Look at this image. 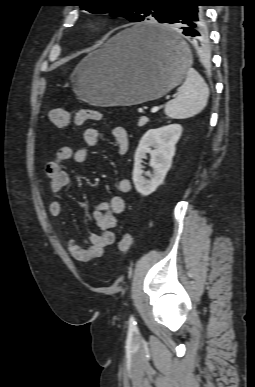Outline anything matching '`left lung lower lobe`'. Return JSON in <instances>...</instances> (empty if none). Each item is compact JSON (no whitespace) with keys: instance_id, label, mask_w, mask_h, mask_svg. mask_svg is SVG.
I'll list each match as a JSON object with an SVG mask.
<instances>
[{"instance_id":"left-lung-lower-lobe-1","label":"left lung lower lobe","mask_w":255,"mask_h":387,"mask_svg":"<svg viewBox=\"0 0 255 387\" xmlns=\"http://www.w3.org/2000/svg\"><path fill=\"white\" fill-rule=\"evenodd\" d=\"M207 0H181L172 2L168 7L163 23H178L181 33L189 36L199 53H207L209 49L208 34L204 24V11L201 6H208ZM145 39L161 46L167 51L177 49L172 36L164 30L144 31Z\"/></svg>"}]
</instances>
